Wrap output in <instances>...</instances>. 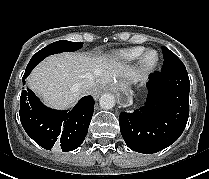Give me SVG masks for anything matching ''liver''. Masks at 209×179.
I'll return each mask as SVG.
<instances>
[{
    "label": "liver",
    "mask_w": 209,
    "mask_h": 179,
    "mask_svg": "<svg viewBox=\"0 0 209 179\" xmlns=\"http://www.w3.org/2000/svg\"><path fill=\"white\" fill-rule=\"evenodd\" d=\"M93 79L96 86H106L115 79L128 85L141 76L132 68L108 57H91L83 53H63L43 60L28 77V86L50 107L70 106L84 93L78 84Z\"/></svg>",
    "instance_id": "liver-1"
}]
</instances>
